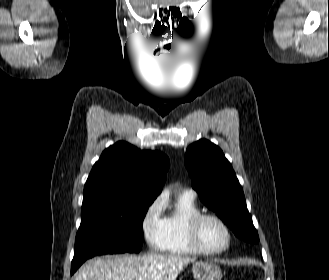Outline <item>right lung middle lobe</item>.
<instances>
[{
    "instance_id": "right-lung-middle-lobe-1",
    "label": "right lung middle lobe",
    "mask_w": 329,
    "mask_h": 280,
    "mask_svg": "<svg viewBox=\"0 0 329 280\" xmlns=\"http://www.w3.org/2000/svg\"><path fill=\"white\" fill-rule=\"evenodd\" d=\"M154 199L119 197L82 209L71 273L96 255L139 252L143 243V219Z\"/></svg>"
}]
</instances>
